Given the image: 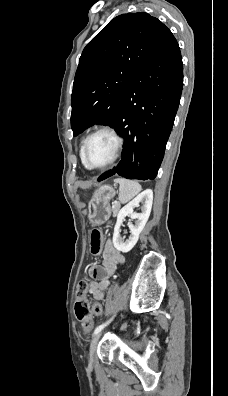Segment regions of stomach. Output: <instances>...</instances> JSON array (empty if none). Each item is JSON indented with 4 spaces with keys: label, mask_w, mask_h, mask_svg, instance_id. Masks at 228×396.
<instances>
[{
    "label": "stomach",
    "mask_w": 228,
    "mask_h": 396,
    "mask_svg": "<svg viewBox=\"0 0 228 396\" xmlns=\"http://www.w3.org/2000/svg\"><path fill=\"white\" fill-rule=\"evenodd\" d=\"M115 196V190L110 185L98 188L88 203V218L92 225L103 224L111 215L110 200Z\"/></svg>",
    "instance_id": "1"
}]
</instances>
